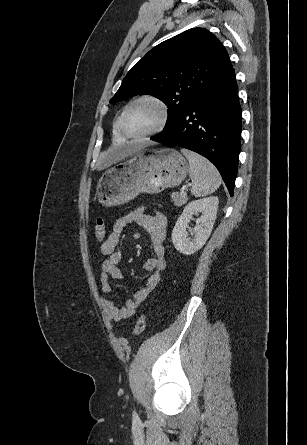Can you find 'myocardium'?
Returning a JSON list of instances; mask_svg holds the SVG:
<instances>
[{
	"label": "myocardium",
	"mask_w": 307,
	"mask_h": 445,
	"mask_svg": "<svg viewBox=\"0 0 307 445\" xmlns=\"http://www.w3.org/2000/svg\"><path fill=\"white\" fill-rule=\"evenodd\" d=\"M140 102H151L155 105H157L161 111V119L159 124L149 130V131H145L142 133H133L130 131L128 124H127V114H128V110L129 108L137 103ZM171 119V111L169 106L167 105V103L165 101H163L162 99L154 96V95H142L139 96L137 98H135L134 100H132L131 102H129L122 114V118H121V128H122V132L125 136L129 137V138H142V137H150V136H154L157 134H160L161 132H163Z\"/></svg>",
	"instance_id": "myocardium-1"
}]
</instances>
